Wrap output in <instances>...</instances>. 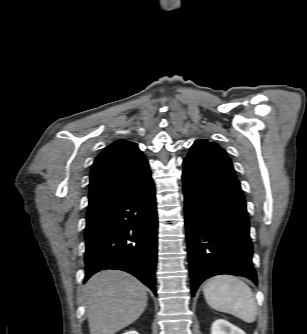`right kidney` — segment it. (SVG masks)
<instances>
[{"label":"right kidney","instance_id":"ca27d5eb","mask_svg":"<svg viewBox=\"0 0 307 334\" xmlns=\"http://www.w3.org/2000/svg\"><path fill=\"white\" fill-rule=\"evenodd\" d=\"M122 334H139L137 331L131 330Z\"/></svg>","mask_w":307,"mask_h":334}]
</instances>
